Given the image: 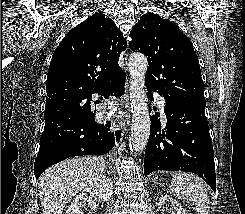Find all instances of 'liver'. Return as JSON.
I'll list each match as a JSON object with an SVG mask.
<instances>
[{
  "instance_id": "1",
  "label": "liver",
  "mask_w": 245,
  "mask_h": 214,
  "mask_svg": "<svg viewBox=\"0 0 245 214\" xmlns=\"http://www.w3.org/2000/svg\"><path fill=\"white\" fill-rule=\"evenodd\" d=\"M105 169L104 158L96 156L68 159L47 169L38 181L43 214H62L65 204Z\"/></svg>"
}]
</instances>
